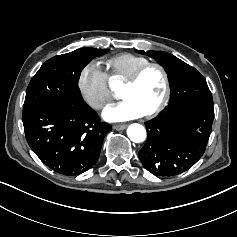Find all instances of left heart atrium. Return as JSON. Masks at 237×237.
<instances>
[{
  "label": "left heart atrium",
  "instance_id": "1",
  "mask_svg": "<svg viewBox=\"0 0 237 237\" xmlns=\"http://www.w3.org/2000/svg\"><path fill=\"white\" fill-rule=\"evenodd\" d=\"M102 115L107 122L115 123L136 119L144 114L131 101L123 100L116 105L106 107Z\"/></svg>",
  "mask_w": 237,
  "mask_h": 237
}]
</instances>
